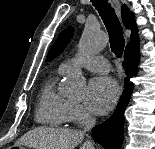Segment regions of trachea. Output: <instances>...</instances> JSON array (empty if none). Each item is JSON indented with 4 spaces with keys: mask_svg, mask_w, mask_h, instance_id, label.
Here are the masks:
<instances>
[{
    "mask_svg": "<svg viewBox=\"0 0 155 149\" xmlns=\"http://www.w3.org/2000/svg\"><path fill=\"white\" fill-rule=\"evenodd\" d=\"M91 2L106 26L110 39L111 51L120 58L124 50L125 40L123 29L115 10L111 7L110 3H108V0H91Z\"/></svg>",
    "mask_w": 155,
    "mask_h": 149,
    "instance_id": "obj_1",
    "label": "trachea"
}]
</instances>
